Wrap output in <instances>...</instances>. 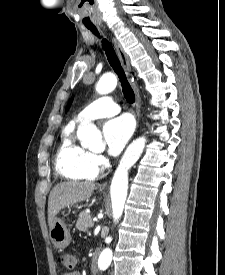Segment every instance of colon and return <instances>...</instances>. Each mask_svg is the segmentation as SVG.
I'll return each mask as SVG.
<instances>
[{"mask_svg":"<svg viewBox=\"0 0 225 275\" xmlns=\"http://www.w3.org/2000/svg\"><path fill=\"white\" fill-rule=\"evenodd\" d=\"M59 264L67 270H74L76 267V255L74 253H62L58 258Z\"/></svg>","mask_w":225,"mask_h":275,"instance_id":"5ec220e1","label":"colon"}]
</instances>
